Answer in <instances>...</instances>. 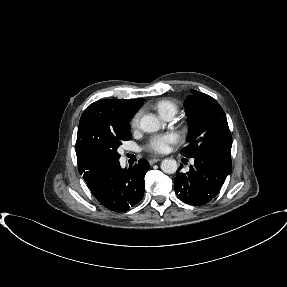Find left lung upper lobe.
I'll return each mask as SVG.
<instances>
[{
	"mask_svg": "<svg viewBox=\"0 0 287 287\" xmlns=\"http://www.w3.org/2000/svg\"><path fill=\"white\" fill-rule=\"evenodd\" d=\"M185 101L189 118L188 145L181 153L191 158L211 150L231 153L232 136L222 107L211 96L192 90Z\"/></svg>",
	"mask_w": 287,
	"mask_h": 287,
	"instance_id": "obj_1",
	"label": "left lung upper lobe"
}]
</instances>
